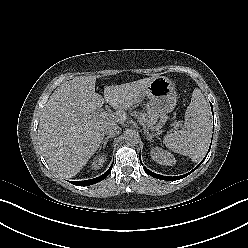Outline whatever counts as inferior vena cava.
<instances>
[{"instance_id": "inferior-vena-cava-1", "label": "inferior vena cava", "mask_w": 248, "mask_h": 248, "mask_svg": "<svg viewBox=\"0 0 248 248\" xmlns=\"http://www.w3.org/2000/svg\"><path fill=\"white\" fill-rule=\"evenodd\" d=\"M121 132V128L117 124H109L104 128V133L110 137H114L119 135Z\"/></svg>"}]
</instances>
